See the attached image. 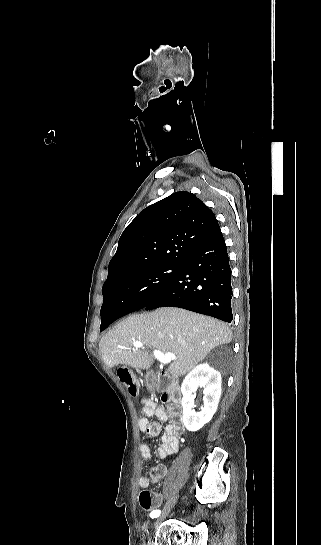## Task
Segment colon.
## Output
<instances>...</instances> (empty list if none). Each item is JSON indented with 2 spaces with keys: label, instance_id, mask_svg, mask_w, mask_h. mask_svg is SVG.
Returning <instances> with one entry per match:
<instances>
[{
  "label": "colon",
  "instance_id": "obj_1",
  "mask_svg": "<svg viewBox=\"0 0 321 545\" xmlns=\"http://www.w3.org/2000/svg\"><path fill=\"white\" fill-rule=\"evenodd\" d=\"M117 375L129 394L131 396H137L138 383L134 374L127 368H121L118 370ZM139 503L143 510L151 511L158 508L161 505L162 500L154 492L142 490L139 493Z\"/></svg>",
  "mask_w": 321,
  "mask_h": 545
}]
</instances>
